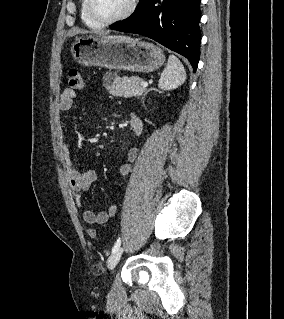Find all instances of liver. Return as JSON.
<instances>
[{
    "instance_id": "6515ba94",
    "label": "liver",
    "mask_w": 284,
    "mask_h": 319,
    "mask_svg": "<svg viewBox=\"0 0 284 319\" xmlns=\"http://www.w3.org/2000/svg\"><path fill=\"white\" fill-rule=\"evenodd\" d=\"M105 38L109 39H122V40H131L132 38L126 37V36H107L106 34L104 35Z\"/></svg>"
}]
</instances>
